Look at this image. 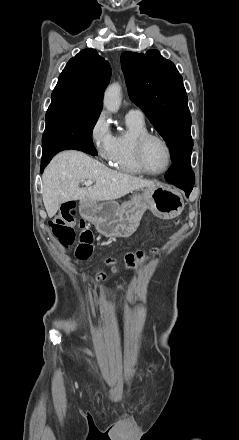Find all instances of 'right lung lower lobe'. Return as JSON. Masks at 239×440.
I'll return each instance as SVG.
<instances>
[{"mask_svg": "<svg viewBox=\"0 0 239 440\" xmlns=\"http://www.w3.org/2000/svg\"><path fill=\"white\" fill-rule=\"evenodd\" d=\"M66 149L80 150V151H83V152L88 153L93 156L97 155V151H96L94 145H90V144L83 142V141H71V142H68L65 145L58 147L48 153L42 154L41 172H43L44 168L47 166V164L49 163V161L52 159V157L54 155H56L58 152H60L62 150H66Z\"/></svg>", "mask_w": 239, "mask_h": 440, "instance_id": "right-lung-lower-lobe-1", "label": "right lung lower lobe"}]
</instances>
